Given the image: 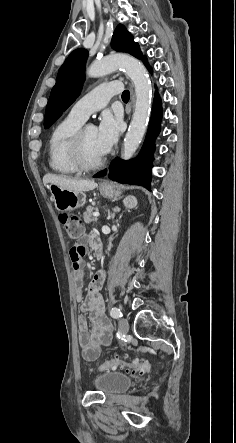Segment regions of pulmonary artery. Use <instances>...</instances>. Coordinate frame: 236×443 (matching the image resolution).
Wrapping results in <instances>:
<instances>
[{
	"mask_svg": "<svg viewBox=\"0 0 236 443\" xmlns=\"http://www.w3.org/2000/svg\"><path fill=\"white\" fill-rule=\"evenodd\" d=\"M122 89L120 81L101 84L78 99L71 107L69 115L85 121L91 113L103 108L110 98Z\"/></svg>",
	"mask_w": 236,
	"mask_h": 443,
	"instance_id": "pulmonary-artery-1",
	"label": "pulmonary artery"
}]
</instances>
